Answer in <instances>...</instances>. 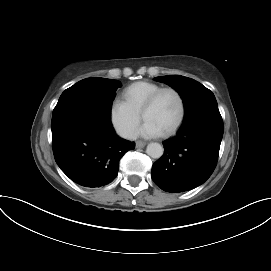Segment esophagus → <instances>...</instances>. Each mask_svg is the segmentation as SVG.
<instances>
[{
    "label": "esophagus",
    "mask_w": 271,
    "mask_h": 271,
    "mask_svg": "<svg viewBox=\"0 0 271 271\" xmlns=\"http://www.w3.org/2000/svg\"><path fill=\"white\" fill-rule=\"evenodd\" d=\"M145 145H146V142H144V141H137L136 142V148H143V147H145Z\"/></svg>",
    "instance_id": "34e87169"
}]
</instances>
